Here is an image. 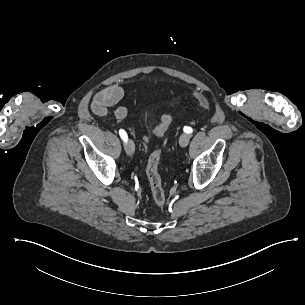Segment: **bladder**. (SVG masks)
I'll use <instances>...</instances> for the list:
<instances>
[{"label": "bladder", "mask_w": 305, "mask_h": 305, "mask_svg": "<svg viewBox=\"0 0 305 305\" xmlns=\"http://www.w3.org/2000/svg\"><path fill=\"white\" fill-rule=\"evenodd\" d=\"M146 113L149 115L148 123H152L156 120L157 117L153 111L148 109Z\"/></svg>", "instance_id": "31cf9c89"}]
</instances>
